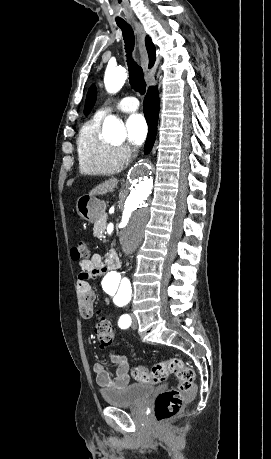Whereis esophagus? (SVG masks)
<instances>
[{
  "instance_id": "esophagus-1",
  "label": "esophagus",
  "mask_w": 271,
  "mask_h": 459,
  "mask_svg": "<svg viewBox=\"0 0 271 459\" xmlns=\"http://www.w3.org/2000/svg\"><path fill=\"white\" fill-rule=\"evenodd\" d=\"M133 26L135 28V38L137 39V42H138V49L134 51V56L136 57V60L138 61L139 69H144V71L146 72L147 69H150L151 67V62L150 60H147L146 53H145L146 33L141 23L133 22Z\"/></svg>"
}]
</instances>
